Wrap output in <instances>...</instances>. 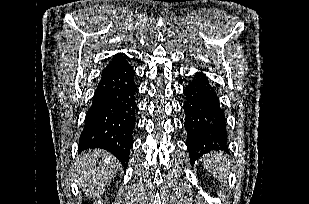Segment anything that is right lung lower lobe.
Wrapping results in <instances>:
<instances>
[{
	"label": "right lung lower lobe",
	"mask_w": 309,
	"mask_h": 204,
	"mask_svg": "<svg viewBox=\"0 0 309 204\" xmlns=\"http://www.w3.org/2000/svg\"><path fill=\"white\" fill-rule=\"evenodd\" d=\"M130 65L102 74L92 105L86 114L79 151L100 148L111 152L127 167L133 130L137 86Z\"/></svg>",
	"instance_id": "1"
}]
</instances>
